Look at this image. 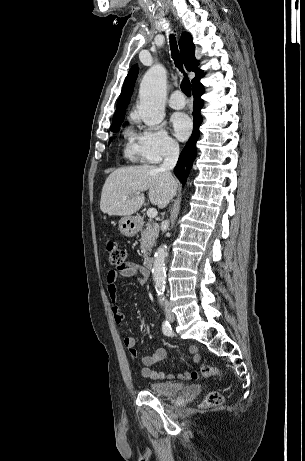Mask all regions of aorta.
Instances as JSON below:
<instances>
[{
  "label": "aorta",
  "instance_id": "762f6f07",
  "mask_svg": "<svg viewBox=\"0 0 305 461\" xmlns=\"http://www.w3.org/2000/svg\"><path fill=\"white\" fill-rule=\"evenodd\" d=\"M138 112L148 126L160 124L165 117L166 69L160 65L152 66L144 75L139 90ZM167 246L161 245L154 255L152 269L157 294L164 293L166 283L165 258Z\"/></svg>",
  "mask_w": 305,
  "mask_h": 461
}]
</instances>
